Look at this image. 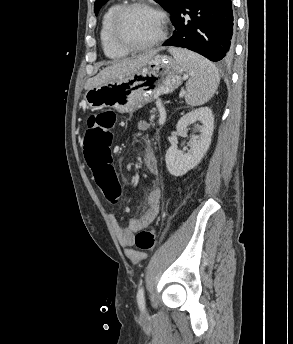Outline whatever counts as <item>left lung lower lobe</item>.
<instances>
[{
	"label": "left lung lower lobe",
	"mask_w": 293,
	"mask_h": 344,
	"mask_svg": "<svg viewBox=\"0 0 293 344\" xmlns=\"http://www.w3.org/2000/svg\"><path fill=\"white\" fill-rule=\"evenodd\" d=\"M171 21L175 31L163 46L187 48L213 62L231 61L234 37L231 0H180Z\"/></svg>",
	"instance_id": "left-lung-lower-lobe-1"
}]
</instances>
